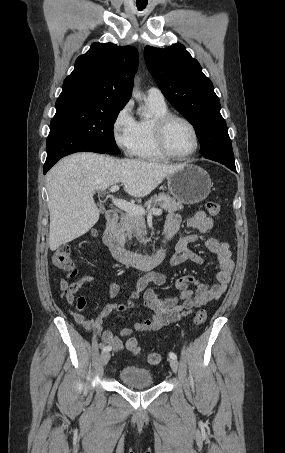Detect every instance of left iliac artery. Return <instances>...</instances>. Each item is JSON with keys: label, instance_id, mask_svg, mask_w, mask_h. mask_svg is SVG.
<instances>
[{"label": "left iliac artery", "instance_id": "obj_1", "mask_svg": "<svg viewBox=\"0 0 285 453\" xmlns=\"http://www.w3.org/2000/svg\"><path fill=\"white\" fill-rule=\"evenodd\" d=\"M169 357H170L171 359H177V355H176L174 352H170V353H169Z\"/></svg>", "mask_w": 285, "mask_h": 453}]
</instances>
